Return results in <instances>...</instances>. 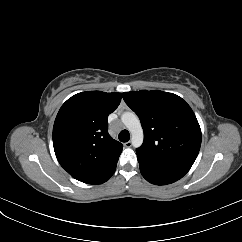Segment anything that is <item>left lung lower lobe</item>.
<instances>
[{"mask_svg": "<svg viewBox=\"0 0 242 242\" xmlns=\"http://www.w3.org/2000/svg\"><path fill=\"white\" fill-rule=\"evenodd\" d=\"M140 171L143 177L152 184L166 185L182 178L187 172L162 166L148 161L137 154Z\"/></svg>", "mask_w": 242, "mask_h": 242, "instance_id": "obj_1", "label": "left lung lower lobe"}]
</instances>
